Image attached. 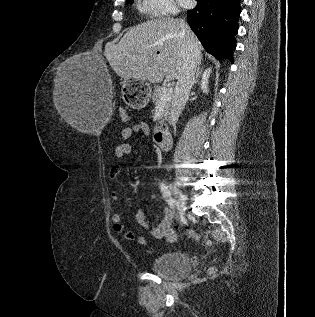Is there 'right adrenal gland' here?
<instances>
[{"instance_id": "2a0ac1e0", "label": "right adrenal gland", "mask_w": 315, "mask_h": 317, "mask_svg": "<svg viewBox=\"0 0 315 317\" xmlns=\"http://www.w3.org/2000/svg\"><path fill=\"white\" fill-rule=\"evenodd\" d=\"M200 64H201V61L198 63V67H197L196 75H195V78H194V81H193V85L198 83V77H199V75L201 74V71H202L200 69Z\"/></svg>"}]
</instances>
